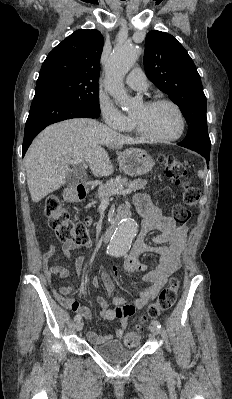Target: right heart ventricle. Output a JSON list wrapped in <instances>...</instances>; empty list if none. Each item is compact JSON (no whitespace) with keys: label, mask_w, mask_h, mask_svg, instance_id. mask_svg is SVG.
<instances>
[{"label":"right heart ventricle","mask_w":232,"mask_h":399,"mask_svg":"<svg viewBox=\"0 0 232 399\" xmlns=\"http://www.w3.org/2000/svg\"><path fill=\"white\" fill-rule=\"evenodd\" d=\"M122 131H124V132H132L133 131V125L130 123Z\"/></svg>","instance_id":"e07e8e85"}]
</instances>
